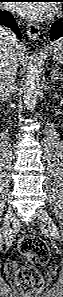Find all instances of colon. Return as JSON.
I'll return each instance as SVG.
<instances>
[{"label":"colon","mask_w":63,"mask_h":297,"mask_svg":"<svg viewBox=\"0 0 63 297\" xmlns=\"http://www.w3.org/2000/svg\"><path fill=\"white\" fill-rule=\"evenodd\" d=\"M20 253L34 266H43L49 258L45 242L34 235H27L19 241ZM20 285L26 291H36L40 287V278L32 271H26L20 278Z\"/></svg>","instance_id":"1"}]
</instances>
